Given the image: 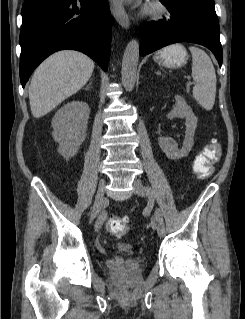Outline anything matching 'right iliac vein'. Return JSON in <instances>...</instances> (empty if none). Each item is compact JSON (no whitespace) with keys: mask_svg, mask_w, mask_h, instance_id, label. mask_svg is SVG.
Segmentation results:
<instances>
[{"mask_svg":"<svg viewBox=\"0 0 245 319\" xmlns=\"http://www.w3.org/2000/svg\"><path fill=\"white\" fill-rule=\"evenodd\" d=\"M105 204H106V200L104 198V182L101 181L99 184L95 202L90 214V221H93L97 217V215L99 214L101 209L105 206ZM94 227H95V230L99 229V225L97 223H95Z\"/></svg>","mask_w":245,"mask_h":319,"instance_id":"right-iliac-vein-1","label":"right iliac vein"}]
</instances>
